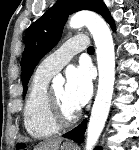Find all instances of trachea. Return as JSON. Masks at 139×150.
<instances>
[{
    "label": "trachea",
    "mask_w": 139,
    "mask_h": 150,
    "mask_svg": "<svg viewBox=\"0 0 139 150\" xmlns=\"http://www.w3.org/2000/svg\"><path fill=\"white\" fill-rule=\"evenodd\" d=\"M87 52H89V53L94 52V47H93V46H90V47L87 49Z\"/></svg>",
    "instance_id": "3493384b"
}]
</instances>
